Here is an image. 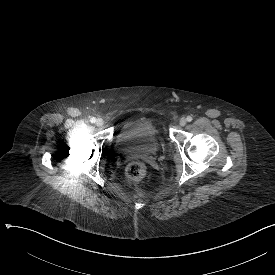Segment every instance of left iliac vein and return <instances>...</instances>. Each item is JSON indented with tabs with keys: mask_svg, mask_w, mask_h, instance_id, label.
<instances>
[{
	"mask_svg": "<svg viewBox=\"0 0 275 275\" xmlns=\"http://www.w3.org/2000/svg\"><path fill=\"white\" fill-rule=\"evenodd\" d=\"M186 123H187V120L185 118H181L180 121H179L180 126H185Z\"/></svg>",
	"mask_w": 275,
	"mask_h": 275,
	"instance_id": "obj_1",
	"label": "left iliac vein"
}]
</instances>
